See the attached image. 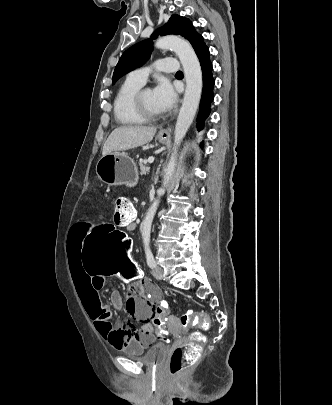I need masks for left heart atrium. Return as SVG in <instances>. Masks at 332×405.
<instances>
[{"instance_id": "obj_1", "label": "left heart atrium", "mask_w": 332, "mask_h": 405, "mask_svg": "<svg viewBox=\"0 0 332 405\" xmlns=\"http://www.w3.org/2000/svg\"><path fill=\"white\" fill-rule=\"evenodd\" d=\"M154 99L158 108L162 111L172 109L177 100V94L172 85L166 79H160L153 89Z\"/></svg>"}]
</instances>
